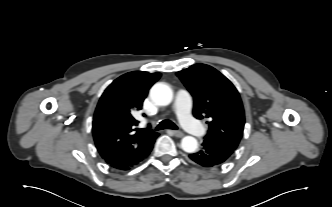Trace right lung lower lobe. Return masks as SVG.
I'll return each instance as SVG.
<instances>
[{"label":"right lung lower lobe","instance_id":"98d812e1","mask_svg":"<svg viewBox=\"0 0 332 207\" xmlns=\"http://www.w3.org/2000/svg\"><path fill=\"white\" fill-rule=\"evenodd\" d=\"M152 148H153V146H152ZM152 148H151V150H152ZM151 150H150V151H151ZM149 153H150V152H149ZM149 153L146 155V157L149 155Z\"/></svg>","mask_w":332,"mask_h":207}]
</instances>
